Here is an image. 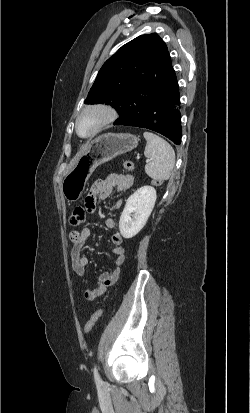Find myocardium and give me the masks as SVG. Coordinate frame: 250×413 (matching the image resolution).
Wrapping results in <instances>:
<instances>
[{"label":"myocardium","instance_id":"f54148a6","mask_svg":"<svg viewBox=\"0 0 250 413\" xmlns=\"http://www.w3.org/2000/svg\"><path fill=\"white\" fill-rule=\"evenodd\" d=\"M89 113L97 114L99 116V121L89 134L82 135L79 131V123L82 117ZM118 117V110L112 104L105 102L93 103L84 107L77 115L75 120V131L81 138H92L103 131L105 128L113 124L118 119Z\"/></svg>","mask_w":250,"mask_h":413}]
</instances>
